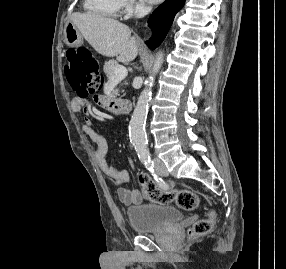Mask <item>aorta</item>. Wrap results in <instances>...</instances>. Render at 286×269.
<instances>
[{
  "label": "aorta",
  "instance_id": "obj_1",
  "mask_svg": "<svg viewBox=\"0 0 286 269\" xmlns=\"http://www.w3.org/2000/svg\"><path fill=\"white\" fill-rule=\"evenodd\" d=\"M163 64V52H158L154 61L151 75L146 80V87L141 92L134 109L130 124L129 136L137 154L140 157H148L147 136L145 132V123L147 118L148 106L151 100V87L154 83L155 74H157Z\"/></svg>",
  "mask_w": 286,
  "mask_h": 269
}]
</instances>
